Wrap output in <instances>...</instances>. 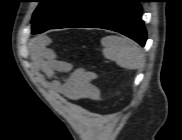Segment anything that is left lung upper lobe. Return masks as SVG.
<instances>
[{"mask_svg":"<svg viewBox=\"0 0 182 140\" xmlns=\"http://www.w3.org/2000/svg\"><path fill=\"white\" fill-rule=\"evenodd\" d=\"M105 0H40L32 18V34L67 28Z\"/></svg>","mask_w":182,"mask_h":140,"instance_id":"left-lung-upper-lobe-1","label":"left lung upper lobe"}]
</instances>
